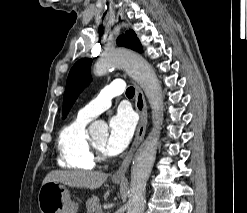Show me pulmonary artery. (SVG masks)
<instances>
[{"instance_id": "e3ab8cb5", "label": "pulmonary artery", "mask_w": 247, "mask_h": 213, "mask_svg": "<svg viewBox=\"0 0 247 213\" xmlns=\"http://www.w3.org/2000/svg\"><path fill=\"white\" fill-rule=\"evenodd\" d=\"M125 89L124 83L121 79H116L110 85L104 87L100 94L92 100L89 104L83 107L78 117L84 120H91L97 115L101 114L111 106L112 98L119 96Z\"/></svg>"}]
</instances>
